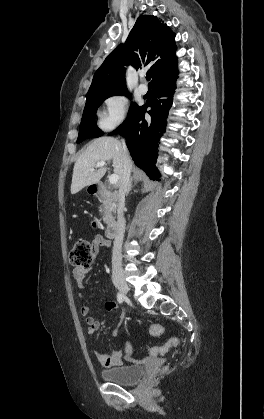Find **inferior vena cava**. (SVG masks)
I'll return each instance as SVG.
<instances>
[{"mask_svg":"<svg viewBox=\"0 0 264 419\" xmlns=\"http://www.w3.org/2000/svg\"><path fill=\"white\" fill-rule=\"evenodd\" d=\"M122 149H123V181L119 188L118 193V209H117V226L116 234L114 238V246L112 251V268L114 270H121L122 268V255L121 248L125 232V219L123 214L125 194L130 182V173L132 169L131 159L127 150L125 140L122 139Z\"/></svg>","mask_w":264,"mask_h":419,"instance_id":"602c4592","label":"inferior vena cava"}]
</instances>
